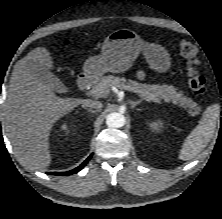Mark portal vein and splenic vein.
I'll use <instances>...</instances> for the list:
<instances>
[{
    "mask_svg": "<svg viewBox=\"0 0 222 219\" xmlns=\"http://www.w3.org/2000/svg\"><path fill=\"white\" fill-rule=\"evenodd\" d=\"M122 89L135 92V90H134L132 87L127 86V85H124V86L122 87ZM108 93H109L108 91L105 92V91H103V89H101V88H96V89L92 90V94L95 95V96L101 95L102 97H104V96H106Z\"/></svg>",
    "mask_w": 222,
    "mask_h": 219,
    "instance_id": "1",
    "label": "portal vein and splenic vein"
}]
</instances>
